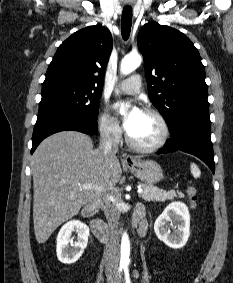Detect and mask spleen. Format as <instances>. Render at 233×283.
<instances>
[{
  "instance_id": "3e777b00",
  "label": "spleen",
  "mask_w": 233,
  "mask_h": 283,
  "mask_svg": "<svg viewBox=\"0 0 233 283\" xmlns=\"http://www.w3.org/2000/svg\"><path fill=\"white\" fill-rule=\"evenodd\" d=\"M190 169H191V173L194 176V178H199L201 175L200 169L198 168V166L194 163H191L190 165Z\"/></svg>"
}]
</instances>
